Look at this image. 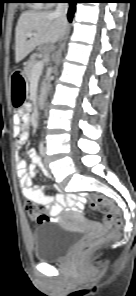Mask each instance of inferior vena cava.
Masks as SVG:
<instances>
[{"label": "inferior vena cava", "mask_w": 136, "mask_h": 296, "mask_svg": "<svg viewBox=\"0 0 136 296\" xmlns=\"http://www.w3.org/2000/svg\"><path fill=\"white\" fill-rule=\"evenodd\" d=\"M68 7H69L68 3H58L56 10L54 12L55 15L60 17L65 23H67L66 15H67ZM65 30L62 33V35L65 33Z\"/></svg>", "instance_id": "1"}]
</instances>
